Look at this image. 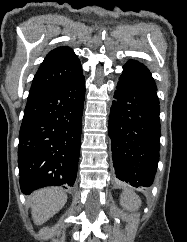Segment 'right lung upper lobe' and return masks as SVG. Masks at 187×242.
<instances>
[{
	"label": "right lung upper lobe",
	"mask_w": 187,
	"mask_h": 242,
	"mask_svg": "<svg viewBox=\"0 0 187 242\" xmlns=\"http://www.w3.org/2000/svg\"><path fill=\"white\" fill-rule=\"evenodd\" d=\"M78 57L69 47L50 51L39 67L29 93L49 89L71 82L82 74Z\"/></svg>",
	"instance_id": "cb5924a9"
}]
</instances>
